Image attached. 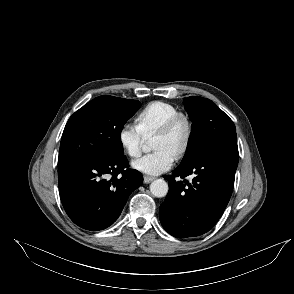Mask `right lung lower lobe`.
Masks as SVG:
<instances>
[{"label":"right lung lower lobe","mask_w":294,"mask_h":294,"mask_svg":"<svg viewBox=\"0 0 294 294\" xmlns=\"http://www.w3.org/2000/svg\"><path fill=\"white\" fill-rule=\"evenodd\" d=\"M128 167L124 154L58 166L60 198L70 219L91 231L113 224L129 195L143 183L142 174Z\"/></svg>","instance_id":"98d812e1"}]
</instances>
